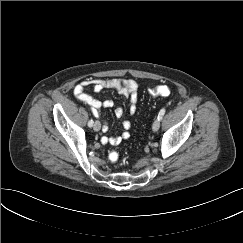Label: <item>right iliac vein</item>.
<instances>
[{"label":"right iliac vein","instance_id":"right-iliac-vein-1","mask_svg":"<svg viewBox=\"0 0 243 243\" xmlns=\"http://www.w3.org/2000/svg\"><path fill=\"white\" fill-rule=\"evenodd\" d=\"M93 129L95 131H99L101 129V123L99 121H95V123L93 125Z\"/></svg>","mask_w":243,"mask_h":243}]
</instances>
